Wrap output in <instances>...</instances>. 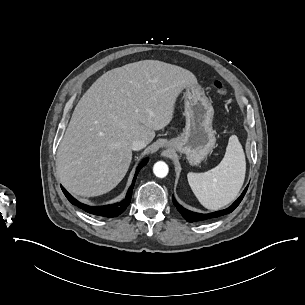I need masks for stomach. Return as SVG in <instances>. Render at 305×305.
I'll list each match as a JSON object with an SVG mask.
<instances>
[{"instance_id":"1","label":"stomach","mask_w":305,"mask_h":305,"mask_svg":"<svg viewBox=\"0 0 305 305\" xmlns=\"http://www.w3.org/2000/svg\"><path fill=\"white\" fill-rule=\"evenodd\" d=\"M186 127L181 136L166 143V147L185 153L191 165H197L212 152L216 137L212 129L214 108L201 88H186Z\"/></svg>"}]
</instances>
